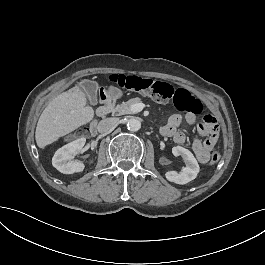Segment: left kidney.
<instances>
[{
	"label": "left kidney",
	"instance_id": "obj_1",
	"mask_svg": "<svg viewBox=\"0 0 265 265\" xmlns=\"http://www.w3.org/2000/svg\"><path fill=\"white\" fill-rule=\"evenodd\" d=\"M172 151L175 156H183L185 167L180 173H177L176 171H168L165 174L166 179L179 185H184L194 180L199 173V165L193 154L180 145L174 146Z\"/></svg>",
	"mask_w": 265,
	"mask_h": 265
}]
</instances>
